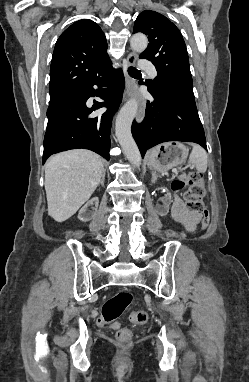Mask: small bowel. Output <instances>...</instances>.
Masks as SVG:
<instances>
[{"instance_id":"1","label":"small bowel","mask_w":249,"mask_h":382,"mask_svg":"<svg viewBox=\"0 0 249 382\" xmlns=\"http://www.w3.org/2000/svg\"><path fill=\"white\" fill-rule=\"evenodd\" d=\"M172 214L174 219L182 224L188 231H194L200 217L196 213L189 212L184 209L182 201L175 197L172 205Z\"/></svg>"}]
</instances>
